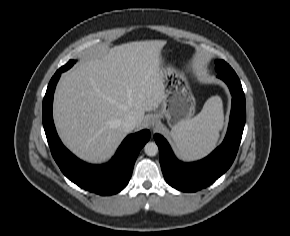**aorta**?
Listing matches in <instances>:
<instances>
[{"label":"aorta","mask_w":290,"mask_h":236,"mask_svg":"<svg viewBox=\"0 0 290 236\" xmlns=\"http://www.w3.org/2000/svg\"><path fill=\"white\" fill-rule=\"evenodd\" d=\"M144 152L147 156H155L158 153V146L155 142H148L144 146Z\"/></svg>","instance_id":"aorta-1"}]
</instances>
